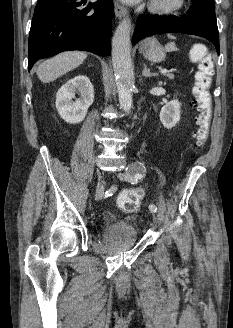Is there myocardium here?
Listing matches in <instances>:
<instances>
[{"mask_svg": "<svg viewBox=\"0 0 233 328\" xmlns=\"http://www.w3.org/2000/svg\"><path fill=\"white\" fill-rule=\"evenodd\" d=\"M185 6V0H152L149 8L152 12L164 15L178 13Z\"/></svg>", "mask_w": 233, "mask_h": 328, "instance_id": "obj_1", "label": "myocardium"}]
</instances>
